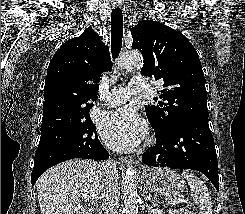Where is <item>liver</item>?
<instances>
[{"instance_id":"1","label":"liver","mask_w":245,"mask_h":214,"mask_svg":"<svg viewBox=\"0 0 245 214\" xmlns=\"http://www.w3.org/2000/svg\"><path fill=\"white\" fill-rule=\"evenodd\" d=\"M100 165L75 159L43 173L36 183L41 214H74L82 209V201L99 199L104 180Z\"/></svg>"}]
</instances>
